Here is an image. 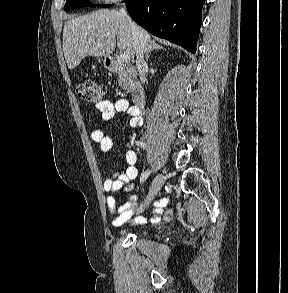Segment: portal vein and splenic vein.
<instances>
[{"instance_id": "portal-vein-and-splenic-vein-1", "label": "portal vein and splenic vein", "mask_w": 288, "mask_h": 293, "mask_svg": "<svg viewBox=\"0 0 288 293\" xmlns=\"http://www.w3.org/2000/svg\"><path fill=\"white\" fill-rule=\"evenodd\" d=\"M119 60L121 61V62H125V63H127V62H129L130 61V55L128 54V53H120V55H119Z\"/></svg>"}]
</instances>
